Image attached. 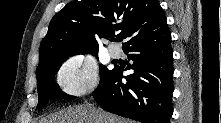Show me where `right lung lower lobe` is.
<instances>
[{
    "mask_svg": "<svg viewBox=\"0 0 221 123\" xmlns=\"http://www.w3.org/2000/svg\"><path fill=\"white\" fill-rule=\"evenodd\" d=\"M129 68L133 74L121 82L122 70L114 68L93 92L96 102L106 111L142 123H170L173 113V50L171 34L155 41L136 44Z\"/></svg>",
    "mask_w": 221,
    "mask_h": 123,
    "instance_id": "1",
    "label": "right lung lower lobe"
}]
</instances>
